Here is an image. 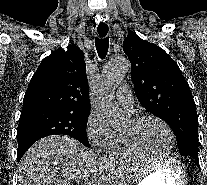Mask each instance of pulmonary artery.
<instances>
[{"mask_svg": "<svg viewBox=\"0 0 207 185\" xmlns=\"http://www.w3.org/2000/svg\"><path fill=\"white\" fill-rule=\"evenodd\" d=\"M131 90V86H118V93H116V98L119 103L126 107H131L133 104V98L129 92Z\"/></svg>", "mask_w": 207, "mask_h": 185, "instance_id": "pulmonary-artery-1", "label": "pulmonary artery"}]
</instances>
